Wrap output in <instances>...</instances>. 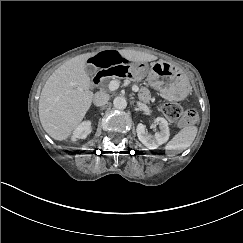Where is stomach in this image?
<instances>
[{
    "label": "stomach",
    "instance_id": "stomach-1",
    "mask_svg": "<svg viewBox=\"0 0 243 243\" xmlns=\"http://www.w3.org/2000/svg\"><path fill=\"white\" fill-rule=\"evenodd\" d=\"M130 72L134 79L146 76L148 85L158 90L167 100H182L190 90L186 75L164 61L154 62L150 67L146 63H134Z\"/></svg>",
    "mask_w": 243,
    "mask_h": 243
}]
</instances>
